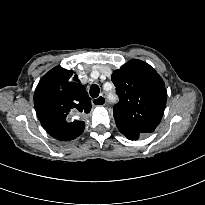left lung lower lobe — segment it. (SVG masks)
I'll return each mask as SVG.
<instances>
[{
    "instance_id": "left-lung-lower-lobe-1",
    "label": "left lung lower lobe",
    "mask_w": 205,
    "mask_h": 205,
    "mask_svg": "<svg viewBox=\"0 0 205 205\" xmlns=\"http://www.w3.org/2000/svg\"><path fill=\"white\" fill-rule=\"evenodd\" d=\"M117 127L119 131L130 140H137L141 135H143V133L134 131L122 125L117 124Z\"/></svg>"
}]
</instances>
